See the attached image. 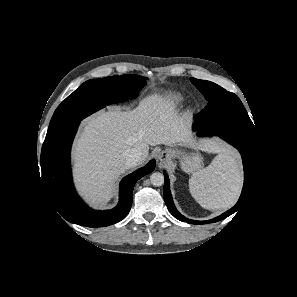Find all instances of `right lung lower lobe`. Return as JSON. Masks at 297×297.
Segmentation results:
<instances>
[{
	"label": "right lung lower lobe",
	"instance_id": "obj_1",
	"mask_svg": "<svg viewBox=\"0 0 297 297\" xmlns=\"http://www.w3.org/2000/svg\"><path fill=\"white\" fill-rule=\"evenodd\" d=\"M78 125L79 123H75L57 135L45 139L39 163L42 171L41 182L50 202L69 222L87 227L115 224L129 213L134 185L138 179L154 170L155 161H150L145 167L122 179L119 204L114 209L92 210L78 197L71 176L70 150Z\"/></svg>",
	"mask_w": 297,
	"mask_h": 297
}]
</instances>
